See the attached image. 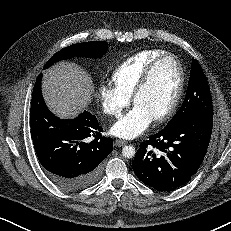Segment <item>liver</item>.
Wrapping results in <instances>:
<instances>
[{
    "instance_id": "liver-1",
    "label": "liver",
    "mask_w": 231,
    "mask_h": 231,
    "mask_svg": "<svg viewBox=\"0 0 231 231\" xmlns=\"http://www.w3.org/2000/svg\"><path fill=\"white\" fill-rule=\"evenodd\" d=\"M42 89L50 110L61 118H71L88 106L94 87L84 69L61 62L43 74Z\"/></svg>"
}]
</instances>
